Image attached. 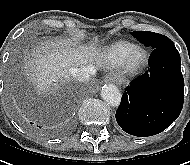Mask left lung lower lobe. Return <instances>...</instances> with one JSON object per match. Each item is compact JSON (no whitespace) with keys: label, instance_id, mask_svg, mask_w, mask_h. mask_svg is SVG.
Instances as JSON below:
<instances>
[{"label":"left lung lower lobe","instance_id":"left-lung-lower-lobe-1","mask_svg":"<svg viewBox=\"0 0 190 165\" xmlns=\"http://www.w3.org/2000/svg\"><path fill=\"white\" fill-rule=\"evenodd\" d=\"M180 55L170 40L149 58V72L131 81L125 89L116 120L127 133L146 137L158 134L177 119L184 98Z\"/></svg>","mask_w":190,"mask_h":165}]
</instances>
